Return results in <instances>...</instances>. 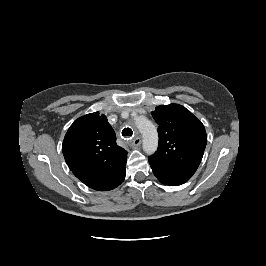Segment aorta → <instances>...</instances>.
<instances>
[{
	"label": "aorta",
	"mask_w": 266,
	"mask_h": 266,
	"mask_svg": "<svg viewBox=\"0 0 266 266\" xmlns=\"http://www.w3.org/2000/svg\"><path fill=\"white\" fill-rule=\"evenodd\" d=\"M136 126L143 137V149L147 154H152L158 147V133L154 124L145 117L136 119Z\"/></svg>",
	"instance_id": "aorta-1"
}]
</instances>
